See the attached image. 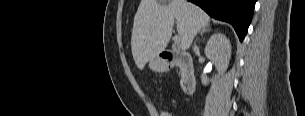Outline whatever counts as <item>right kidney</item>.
<instances>
[{
  "label": "right kidney",
  "mask_w": 305,
  "mask_h": 116,
  "mask_svg": "<svg viewBox=\"0 0 305 116\" xmlns=\"http://www.w3.org/2000/svg\"><path fill=\"white\" fill-rule=\"evenodd\" d=\"M205 55L215 65L218 75H222L228 68L231 58V44L223 33H216L210 37L205 47ZM201 81L204 84L209 82V78L202 74Z\"/></svg>",
  "instance_id": "1"
}]
</instances>
